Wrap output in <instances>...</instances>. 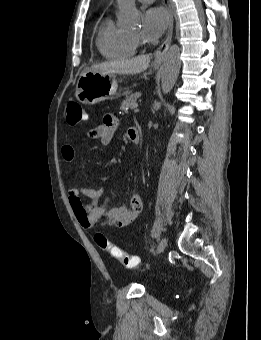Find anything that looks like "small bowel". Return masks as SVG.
Returning <instances> with one entry per match:
<instances>
[{"label":"small bowel","instance_id":"1","mask_svg":"<svg viewBox=\"0 0 261 340\" xmlns=\"http://www.w3.org/2000/svg\"><path fill=\"white\" fill-rule=\"evenodd\" d=\"M118 120L113 115H105L100 125L91 128L87 135L93 139H99L103 145H109L118 127ZM129 128L128 135L130 129ZM61 154L65 161L74 159L75 151L71 144H65L61 148ZM88 202H83V199ZM100 198H103L100 201ZM68 199L72 211L85 229H96L102 227L122 228L134 221L142 210V200L139 194L134 193L130 198V208L126 205H118L109 208L110 196L106 195L103 187L89 188L81 187L73 183Z\"/></svg>","mask_w":261,"mask_h":340}]
</instances>
